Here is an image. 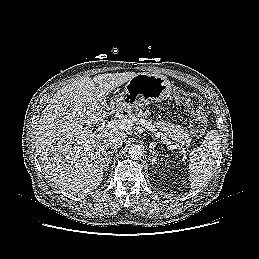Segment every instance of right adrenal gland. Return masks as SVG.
<instances>
[{"instance_id": "1", "label": "right adrenal gland", "mask_w": 259, "mask_h": 259, "mask_svg": "<svg viewBox=\"0 0 259 259\" xmlns=\"http://www.w3.org/2000/svg\"><path fill=\"white\" fill-rule=\"evenodd\" d=\"M116 150H111V151H108V153L106 154L105 158H104V161H103V168L104 170H107V168L109 167V163H110V157L113 155V153L115 152Z\"/></svg>"}]
</instances>
